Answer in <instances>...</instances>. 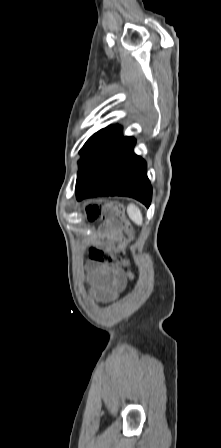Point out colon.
<instances>
[{"mask_svg": "<svg viewBox=\"0 0 221 448\" xmlns=\"http://www.w3.org/2000/svg\"><path fill=\"white\" fill-rule=\"evenodd\" d=\"M105 208L109 211L110 215L115 217L116 220L112 222L114 227L122 226L124 230L131 234L133 228L131 223L126 219L123 207L118 202H111L105 205ZM103 214V208L99 205H92L87 209V217L89 220H95ZM90 259L95 263L109 264L114 266H128L129 261L123 255V245L120 243H114L110 250H104L102 248H92L89 253Z\"/></svg>", "mask_w": 221, "mask_h": 448, "instance_id": "1", "label": "colon"}]
</instances>
